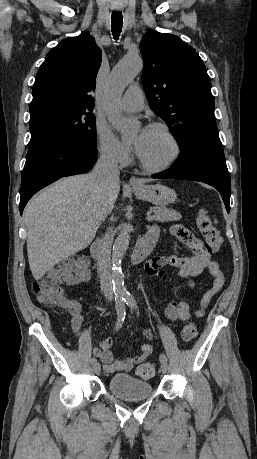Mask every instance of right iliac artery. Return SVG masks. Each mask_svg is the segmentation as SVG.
Here are the masks:
<instances>
[{
  "instance_id": "obj_1",
  "label": "right iliac artery",
  "mask_w": 257,
  "mask_h": 459,
  "mask_svg": "<svg viewBox=\"0 0 257 459\" xmlns=\"http://www.w3.org/2000/svg\"><path fill=\"white\" fill-rule=\"evenodd\" d=\"M124 297L123 296H117L115 298V304H116V311H117V315H118V319H117V322H116V330H118L119 328H121L122 326V323L125 319V304H124ZM90 363L92 365L96 364L97 363V359L95 357H92L90 359Z\"/></svg>"
}]
</instances>
